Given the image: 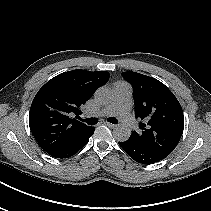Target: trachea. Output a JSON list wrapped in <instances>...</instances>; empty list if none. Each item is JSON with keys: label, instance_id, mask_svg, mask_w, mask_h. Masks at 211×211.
I'll list each match as a JSON object with an SVG mask.
<instances>
[{"label": "trachea", "instance_id": "obj_1", "mask_svg": "<svg viewBox=\"0 0 211 211\" xmlns=\"http://www.w3.org/2000/svg\"><path fill=\"white\" fill-rule=\"evenodd\" d=\"M82 122L87 123L88 125H95L98 122L97 118H87V119H80ZM108 122L112 124H117L118 120L114 117H110L107 119Z\"/></svg>", "mask_w": 211, "mask_h": 211}]
</instances>
